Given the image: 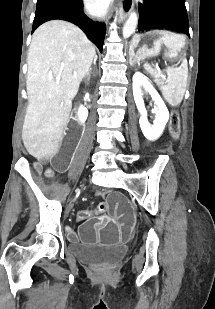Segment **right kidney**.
<instances>
[{"label": "right kidney", "mask_w": 215, "mask_h": 309, "mask_svg": "<svg viewBox=\"0 0 215 309\" xmlns=\"http://www.w3.org/2000/svg\"><path fill=\"white\" fill-rule=\"evenodd\" d=\"M77 114L79 116L80 122H85L88 116V110L85 108V106H83V104H80Z\"/></svg>", "instance_id": "1"}]
</instances>
